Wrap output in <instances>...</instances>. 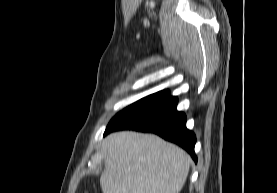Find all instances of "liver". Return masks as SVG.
I'll use <instances>...</instances> for the list:
<instances>
[{
    "instance_id": "1",
    "label": "liver",
    "mask_w": 277,
    "mask_h": 193,
    "mask_svg": "<svg viewBox=\"0 0 277 193\" xmlns=\"http://www.w3.org/2000/svg\"><path fill=\"white\" fill-rule=\"evenodd\" d=\"M103 193H179L191 158L154 134L112 133L104 141Z\"/></svg>"
}]
</instances>
